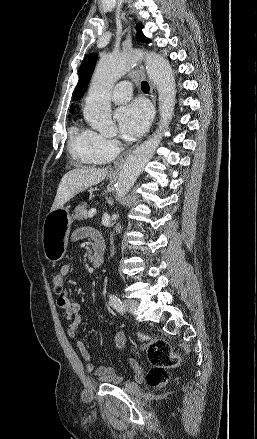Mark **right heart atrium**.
<instances>
[{
    "label": "right heart atrium",
    "mask_w": 257,
    "mask_h": 439,
    "mask_svg": "<svg viewBox=\"0 0 257 439\" xmlns=\"http://www.w3.org/2000/svg\"><path fill=\"white\" fill-rule=\"evenodd\" d=\"M118 141L96 132H92V149L104 161L111 159L117 152Z\"/></svg>",
    "instance_id": "obj_1"
}]
</instances>
